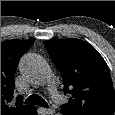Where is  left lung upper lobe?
<instances>
[{
    "label": "left lung upper lobe",
    "instance_id": "5c2ea615",
    "mask_svg": "<svg viewBox=\"0 0 115 115\" xmlns=\"http://www.w3.org/2000/svg\"><path fill=\"white\" fill-rule=\"evenodd\" d=\"M63 77L69 102L61 106L64 115H113L115 93L107 64L90 44L76 38L44 42Z\"/></svg>",
    "mask_w": 115,
    "mask_h": 115
}]
</instances>
